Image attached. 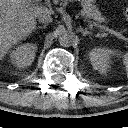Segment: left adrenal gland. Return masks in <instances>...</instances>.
Returning a JSON list of instances; mask_svg holds the SVG:
<instances>
[{"mask_svg": "<svg viewBox=\"0 0 128 128\" xmlns=\"http://www.w3.org/2000/svg\"><path fill=\"white\" fill-rule=\"evenodd\" d=\"M79 31L83 34V36L92 35V32L88 31L87 29L79 28Z\"/></svg>", "mask_w": 128, "mask_h": 128, "instance_id": "a2214340", "label": "left adrenal gland"}]
</instances>
